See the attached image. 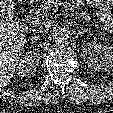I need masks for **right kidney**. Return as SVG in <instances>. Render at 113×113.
<instances>
[{
    "instance_id": "1",
    "label": "right kidney",
    "mask_w": 113,
    "mask_h": 113,
    "mask_svg": "<svg viewBox=\"0 0 113 113\" xmlns=\"http://www.w3.org/2000/svg\"><path fill=\"white\" fill-rule=\"evenodd\" d=\"M40 52L33 49L22 56L18 63V75L25 77L31 75L39 65Z\"/></svg>"
}]
</instances>
